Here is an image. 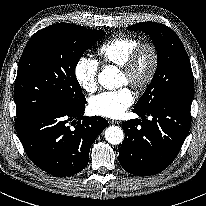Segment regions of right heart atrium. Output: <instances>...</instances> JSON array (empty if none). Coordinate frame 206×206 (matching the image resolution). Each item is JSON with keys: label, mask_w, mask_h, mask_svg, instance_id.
<instances>
[{"label": "right heart atrium", "mask_w": 206, "mask_h": 206, "mask_svg": "<svg viewBox=\"0 0 206 206\" xmlns=\"http://www.w3.org/2000/svg\"><path fill=\"white\" fill-rule=\"evenodd\" d=\"M98 62L88 56H82L76 62L74 77L80 89L86 94L97 90Z\"/></svg>", "instance_id": "1"}]
</instances>
